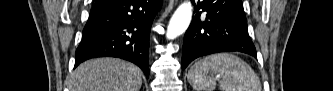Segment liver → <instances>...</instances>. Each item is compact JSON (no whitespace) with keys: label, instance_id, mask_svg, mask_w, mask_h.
<instances>
[{"label":"liver","instance_id":"obj_1","mask_svg":"<svg viewBox=\"0 0 333 91\" xmlns=\"http://www.w3.org/2000/svg\"><path fill=\"white\" fill-rule=\"evenodd\" d=\"M142 71L116 58H98L80 64L73 72L70 91H139Z\"/></svg>","mask_w":333,"mask_h":91}]
</instances>
